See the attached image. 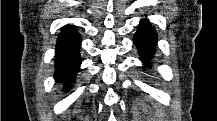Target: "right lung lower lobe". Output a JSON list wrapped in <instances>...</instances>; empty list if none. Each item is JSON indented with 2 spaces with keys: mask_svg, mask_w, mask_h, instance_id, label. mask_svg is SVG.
I'll list each match as a JSON object with an SVG mask.
<instances>
[{
  "mask_svg": "<svg viewBox=\"0 0 217 121\" xmlns=\"http://www.w3.org/2000/svg\"><path fill=\"white\" fill-rule=\"evenodd\" d=\"M81 37L76 26L63 27L56 43L55 80L62 83L64 91L70 88L81 64L80 57Z\"/></svg>",
  "mask_w": 217,
  "mask_h": 121,
  "instance_id": "98d812e1",
  "label": "right lung lower lobe"
}]
</instances>
